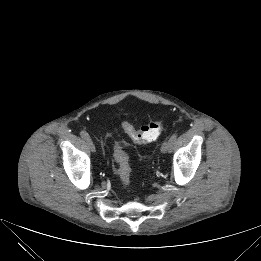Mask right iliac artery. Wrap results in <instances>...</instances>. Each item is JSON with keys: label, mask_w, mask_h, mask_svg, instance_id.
Listing matches in <instances>:
<instances>
[{"label": "right iliac artery", "mask_w": 261, "mask_h": 261, "mask_svg": "<svg viewBox=\"0 0 261 261\" xmlns=\"http://www.w3.org/2000/svg\"><path fill=\"white\" fill-rule=\"evenodd\" d=\"M80 136L85 139V140H88L90 139V136L89 134L86 132V131H81L80 132ZM101 154L105 157V153L101 151Z\"/></svg>", "instance_id": "1"}]
</instances>
